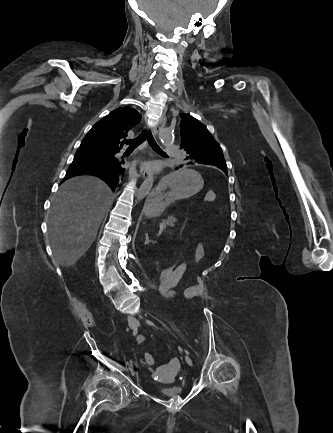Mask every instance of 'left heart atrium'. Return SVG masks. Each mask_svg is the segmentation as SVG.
<instances>
[{
  "label": "left heart atrium",
  "mask_w": 333,
  "mask_h": 433,
  "mask_svg": "<svg viewBox=\"0 0 333 433\" xmlns=\"http://www.w3.org/2000/svg\"><path fill=\"white\" fill-rule=\"evenodd\" d=\"M149 167H150L151 169H153V170L156 169V165H155V164H152V165H150Z\"/></svg>",
  "instance_id": "1"
}]
</instances>
